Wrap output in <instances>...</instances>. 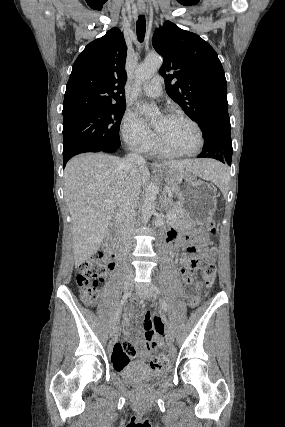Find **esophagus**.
Returning <instances> with one entry per match:
<instances>
[{"label":"esophagus","mask_w":285,"mask_h":427,"mask_svg":"<svg viewBox=\"0 0 285 427\" xmlns=\"http://www.w3.org/2000/svg\"><path fill=\"white\" fill-rule=\"evenodd\" d=\"M138 11H139V13H140V14H144V12H145V7H144V6H139V7H138Z\"/></svg>","instance_id":"esophagus-1"}]
</instances>
